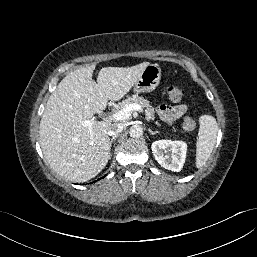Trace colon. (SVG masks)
<instances>
[{
  "mask_svg": "<svg viewBox=\"0 0 257 257\" xmlns=\"http://www.w3.org/2000/svg\"><path fill=\"white\" fill-rule=\"evenodd\" d=\"M166 95L168 99L172 102H179L184 97V91L181 87L177 85H170L166 89ZM184 127L187 129H192L195 125L191 118H185L183 121Z\"/></svg>",
  "mask_w": 257,
  "mask_h": 257,
  "instance_id": "obj_1",
  "label": "colon"
}]
</instances>
